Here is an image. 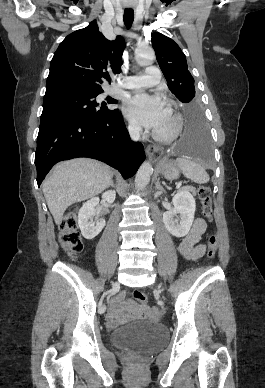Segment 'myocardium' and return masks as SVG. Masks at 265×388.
<instances>
[{
  "instance_id": "f54148a6",
  "label": "myocardium",
  "mask_w": 265,
  "mask_h": 388,
  "mask_svg": "<svg viewBox=\"0 0 265 388\" xmlns=\"http://www.w3.org/2000/svg\"><path fill=\"white\" fill-rule=\"evenodd\" d=\"M168 114L170 116V127L166 131H160L157 128L154 129V137L162 142H171L177 138L182 126H183V117L181 114L169 108Z\"/></svg>"
}]
</instances>
